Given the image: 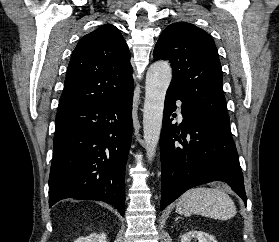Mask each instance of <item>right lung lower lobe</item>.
Instances as JSON below:
<instances>
[{"instance_id": "obj_1", "label": "right lung lower lobe", "mask_w": 279, "mask_h": 242, "mask_svg": "<svg viewBox=\"0 0 279 242\" xmlns=\"http://www.w3.org/2000/svg\"><path fill=\"white\" fill-rule=\"evenodd\" d=\"M133 90L104 103L57 112L49 206L65 198L99 200L125 213V165Z\"/></svg>"}]
</instances>
